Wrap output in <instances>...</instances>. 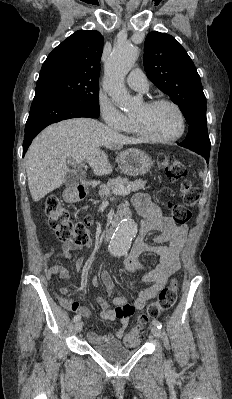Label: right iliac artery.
Listing matches in <instances>:
<instances>
[{
	"instance_id": "obj_1",
	"label": "right iliac artery",
	"mask_w": 232,
	"mask_h": 399,
	"mask_svg": "<svg viewBox=\"0 0 232 399\" xmlns=\"http://www.w3.org/2000/svg\"><path fill=\"white\" fill-rule=\"evenodd\" d=\"M74 322H79L81 320V316L79 314L75 315L73 318Z\"/></svg>"
}]
</instances>
